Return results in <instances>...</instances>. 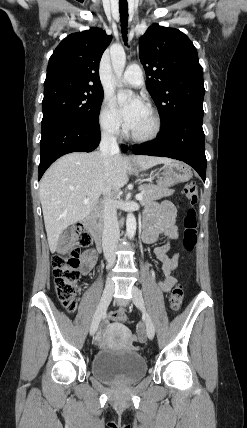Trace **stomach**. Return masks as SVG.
<instances>
[{"label":"stomach","instance_id":"obj_1","mask_svg":"<svg viewBox=\"0 0 247 428\" xmlns=\"http://www.w3.org/2000/svg\"><path fill=\"white\" fill-rule=\"evenodd\" d=\"M150 175L157 179L158 185L171 187L187 182L192 177L191 168L183 162L172 161L151 171Z\"/></svg>","mask_w":247,"mask_h":428}]
</instances>
